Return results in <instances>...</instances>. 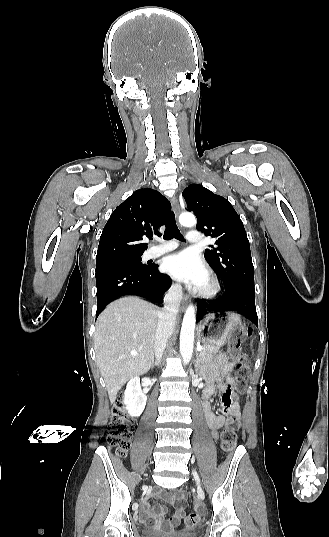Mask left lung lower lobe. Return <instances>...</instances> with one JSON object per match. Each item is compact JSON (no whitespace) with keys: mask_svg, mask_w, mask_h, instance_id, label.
<instances>
[{"mask_svg":"<svg viewBox=\"0 0 329 537\" xmlns=\"http://www.w3.org/2000/svg\"><path fill=\"white\" fill-rule=\"evenodd\" d=\"M215 311L237 312L243 315L253 324L258 325L254 286L237 285L230 289H225L223 294L217 299L198 300L197 321L200 320L201 315Z\"/></svg>","mask_w":329,"mask_h":537,"instance_id":"0a47b994","label":"left lung lower lobe"}]
</instances>
